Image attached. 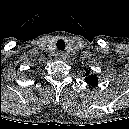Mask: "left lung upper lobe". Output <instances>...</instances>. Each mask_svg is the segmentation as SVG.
<instances>
[{
  "mask_svg": "<svg viewBox=\"0 0 129 129\" xmlns=\"http://www.w3.org/2000/svg\"><path fill=\"white\" fill-rule=\"evenodd\" d=\"M89 72H90V71H88V72L86 73V75H88ZM97 80H98V79H97V77H96L95 75H92V76H89V77L86 78V82H87V83H90L92 86L97 85Z\"/></svg>",
  "mask_w": 129,
  "mask_h": 129,
  "instance_id": "left-lung-upper-lobe-1",
  "label": "left lung upper lobe"
}]
</instances>
